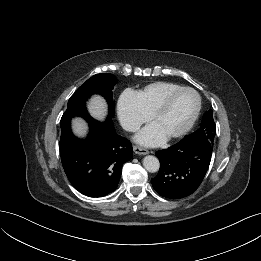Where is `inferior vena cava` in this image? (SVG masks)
Masks as SVG:
<instances>
[{"label": "inferior vena cava", "mask_w": 261, "mask_h": 261, "mask_svg": "<svg viewBox=\"0 0 261 261\" xmlns=\"http://www.w3.org/2000/svg\"><path fill=\"white\" fill-rule=\"evenodd\" d=\"M139 128H140V126L137 124H125L124 125V129L127 131H131V132H136L139 130Z\"/></svg>", "instance_id": "1"}]
</instances>
